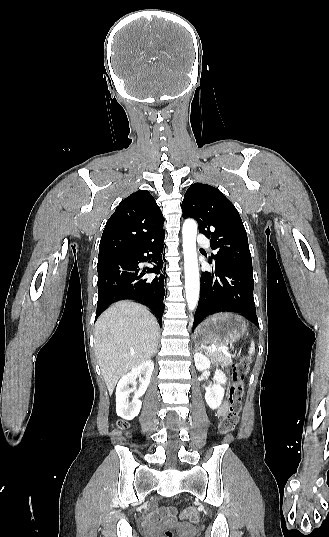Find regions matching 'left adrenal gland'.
<instances>
[{"label":"left adrenal gland","mask_w":329,"mask_h":537,"mask_svg":"<svg viewBox=\"0 0 329 537\" xmlns=\"http://www.w3.org/2000/svg\"><path fill=\"white\" fill-rule=\"evenodd\" d=\"M200 349H201V348H199L198 343H195V351H198V350H200Z\"/></svg>","instance_id":"left-adrenal-gland-1"}]
</instances>
